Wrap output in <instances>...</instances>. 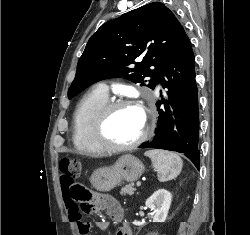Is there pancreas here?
Returning a JSON list of instances; mask_svg holds the SVG:
<instances>
[{"instance_id":"1","label":"pancreas","mask_w":250,"mask_h":235,"mask_svg":"<svg viewBox=\"0 0 250 235\" xmlns=\"http://www.w3.org/2000/svg\"><path fill=\"white\" fill-rule=\"evenodd\" d=\"M134 191H135V188H134L133 184H128L121 189L120 194L121 195H126V194L133 195Z\"/></svg>"}]
</instances>
